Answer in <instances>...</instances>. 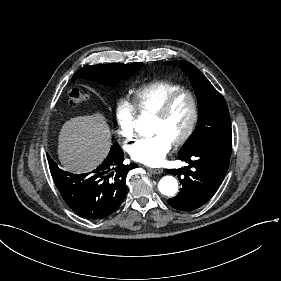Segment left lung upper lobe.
Listing matches in <instances>:
<instances>
[{
	"mask_svg": "<svg viewBox=\"0 0 281 281\" xmlns=\"http://www.w3.org/2000/svg\"><path fill=\"white\" fill-rule=\"evenodd\" d=\"M175 63L176 61L166 62V64ZM180 66L187 73L195 90L199 113L197 126L179 154L207 148L230 157L232 131L225 99L194 65L183 60Z\"/></svg>",
	"mask_w": 281,
	"mask_h": 281,
	"instance_id": "1",
	"label": "left lung upper lobe"
}]
</instances>
